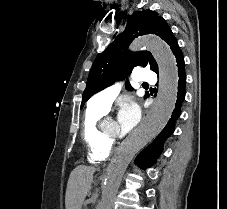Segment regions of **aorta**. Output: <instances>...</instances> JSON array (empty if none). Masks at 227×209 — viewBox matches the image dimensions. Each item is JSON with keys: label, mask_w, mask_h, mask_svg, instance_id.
Segmentation results:
<instances>
[{"label": "aorta", "mask_w": 227, "mask_h": 209, "mask_svg": "<svg viewBox=\"0 0 227 209\" xmlns=\"http://www.w3.org/2000/svg\"><path fill=\"white\" fill-rule=\"evenodd\" d=\"M131 50L147 49L159 69V89L156 101L137 136L122 145L110 162L102 186V198L97 209H112L123 174L136 153L151 142L164 128L177 99L178 70L170 47L159 37L148 35L136 39Z\"/></svg>", "instance_id": "1"}]
</instances>
